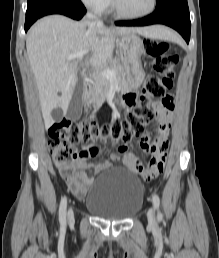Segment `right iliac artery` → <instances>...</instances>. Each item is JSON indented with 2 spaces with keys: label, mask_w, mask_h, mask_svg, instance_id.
Here are the masks:
<instances>
[{
  "label": "right iliac artery",
  "mask_w": 219,
  "mask_h": 258,
  "mask_svg": "<svg viewBox=\"0 0 219 258\" xmlns=\"http://www.w3.org/2000/svg\"><path fill=\"white\" fill-rule=\"evenodd\" d=\"M66 208H67V198L64 196L61 199L60 207H59V220L61 223H65L66 221Z\"/></svg>",
  "instance_id": "82829eb1"
}]
</instances>
